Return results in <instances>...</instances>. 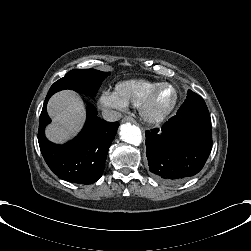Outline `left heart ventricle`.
Masks as SVG:
<instances>
[{"mask_svg":"<svg viewBox=\"0 0 251 251\" xmlns=\"http://www.w3.org/2000/svg\"><path fill=\"white\" fill-rule=\"evenodd\" d=\"M177 99V92L171 83H167L162 85L159 90L157 91L152 109L155 112L164 111L170 108Z\"/></svg>","mask_w":251,"mask_h":251,"instance_id":"1","label":"left heart ventricle"}]
</instances>
